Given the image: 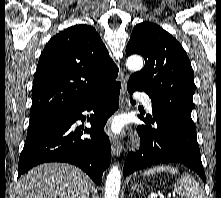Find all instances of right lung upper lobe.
<instances>
[{
  "mask_svg": "<svg viewBox=\"0 0 221 198\" xmlns=\"http://www.w3.org/2000/svg\"><path fill=\"white\" fill-rule=\"evenodd\" d=\"M118 68L96 30L75 25L50 39L34 76L30 123L80 107L116 83Z\"/></svg>",
  "mask_w": 221,
  "mask_h": 198,
  "instance_id": "cb5924a9",
  "label": "right lung upper lobe"
}]
</instances>
